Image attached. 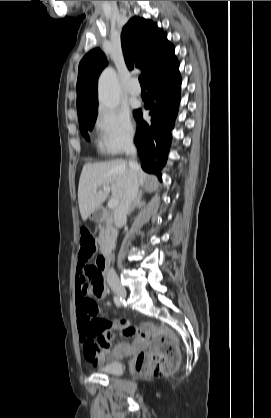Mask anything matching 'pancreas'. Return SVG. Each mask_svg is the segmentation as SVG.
<instances>
[{
	"label": "pancreas",
	"mask_w": 271,
	"mask_h": 418,
	"mask_svg": "<svg viewBox=\"0 0 271 418\" xmlns=\"http://www.w3.org/2000/svg\"><path fill=\"white\" fill-rule=\"evenodd\" d=\"M113 232L112 224L109 219L106 220L105 226L100 229L99 233V244L103 246L105 242L111 238Z\"/></svg>",
	"instance_id": "cf45deb5"
}]
</instances>
